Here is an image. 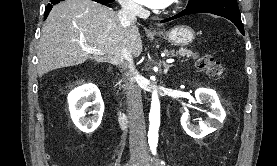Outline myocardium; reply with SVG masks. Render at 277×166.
<instances>
[{
    "label": "myocardium",
    "mask_w": 277,
    "mask_h": 166,
    "mask_svg": "<svg viewBox=\"0 0 277 166\" xmlns=\"http://www.w3.org/2000/svg\"><path fill=\"white\" fill-rule=\"evenodd\" d=\"M181 5V0H173L171 2L170 10L177 9Z\"/></svg>",
    "instance_id": "obj_1"
}]
</instances>
